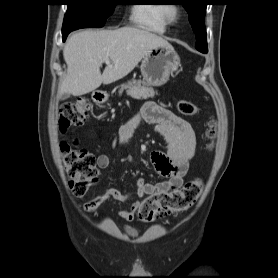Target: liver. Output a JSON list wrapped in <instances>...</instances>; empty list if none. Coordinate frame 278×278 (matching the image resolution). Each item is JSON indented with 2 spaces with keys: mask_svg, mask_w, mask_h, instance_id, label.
Instances as JSON below:
<instances>
[{
  "mask_svg": "<svg viewBox=\"0 0 278 278\" xmlns=\"http://www.w3.org/2000/svg\"><path fill=\"white\" fill-rule=\"evenodd\" d=\"M158 46L171 45L162 37L136 27L76 33L63 50L67 75L59 86V94L80 96L96 90L101 84L122 79ZM105 59L109 63L101 74L100 67Z\"/></svg>",
  "mask_w": 278,
  "mask_h": 278,
  "instance_id": "1",
  "label": "liver"
}]
</instances>
